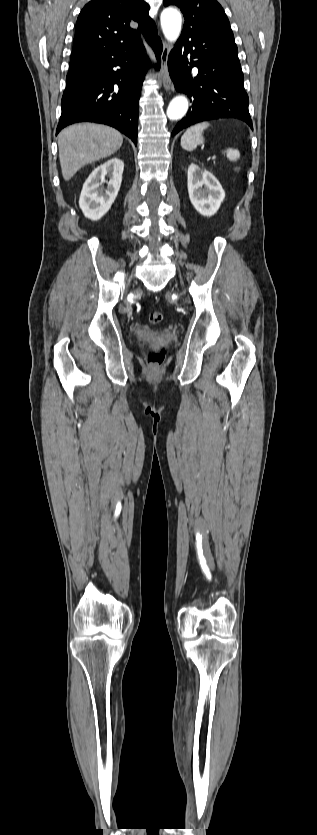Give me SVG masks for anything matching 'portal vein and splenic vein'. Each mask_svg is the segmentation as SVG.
Segmentation results:
<instances>
[{"instance_id": "18ae733b", "label": "portal vein and splenic vein", "mask_w": 317, "mask_h": 835, "mask_svg": "<svg viewBox=\"0 0 317 835\" xmlns=\"http://www.w3.org/2000/svg\"><path fill=\"white\" fill-rule=\"evenodd\" d=\"M209 159H211L215 163L217 158H216V156H212Z\"/></svg>"}]
</instances>
